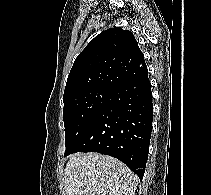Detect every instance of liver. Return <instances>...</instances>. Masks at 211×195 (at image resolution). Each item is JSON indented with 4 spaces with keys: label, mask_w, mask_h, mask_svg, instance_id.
<instances>
[{
    "label": "liver",
    "mask_w": 211,
    "mask_h": 195,
    "mask_svg": "<svg viewBox=\"0 0 211 195\" xmlns=\"http://www.w3.org/2000/svg\"><path fill=\"white\" fill-rule=\"evenodd\" d=\"M138 177L118 159L96 153H75L65 168L63 195H134Z\"/></svg>",
    "instance_id": "1"
}]
</instances>
